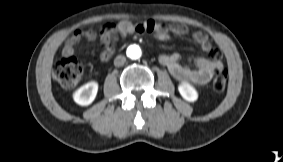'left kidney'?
I'll return each mask as SVG.
<instances>
[{
	"label": "left kidney",
	"instance_id": "left-kidney-1",
	"mask_svg": "<svg viewBox=\"0 0 283 162\" xmlns=\"http://www.w3.org/2000/svg\"><path fill=\"white\" fill-rule=\"evenodd\" d=\"M179 93L188 102H194L198 99V93L196 89L189 83H181L178 86Z\"/></svg>",
	"mask_w": 283,
	"mask_h": 162
}]
</instances>
